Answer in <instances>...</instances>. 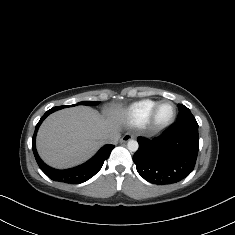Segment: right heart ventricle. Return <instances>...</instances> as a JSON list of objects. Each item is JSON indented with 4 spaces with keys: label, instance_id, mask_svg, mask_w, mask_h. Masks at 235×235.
I'll return each mask as SVG.
<instances>
[{
    "label": "right heart ventricle",
    "instance_id": "e07e8e85",
    "mask_svg": "<svg viewBox=\"0 0 235 235\" xmlns=\"http://www.w3.org/2000/svg\"><path fill=\"white\" fill-rule=\"evenodd\" d=\"M157 103L155 100L145 99L129 105L110 108L106 111L108 119L116 124L141 126L149 121L151 111Z\"/></svg>",
    "mask_w": 235,
    "mask_h": 235
}]
</instances>
